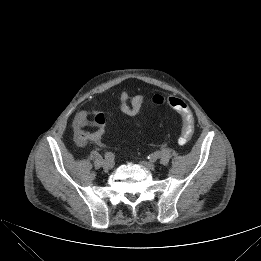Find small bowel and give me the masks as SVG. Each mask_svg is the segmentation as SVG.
<instances>
[{
	"label": "small bowel",
	"instance_id": "c3829d8e",
	"mask_svg": "<svg viewBox=\"0 0 261 261\" xmlns=\"http://www.w3.org/2000/svg\"><path fill=\"white\" fill-rule=\"evenodd\" d=\"M119 99L121 112L128 116L137 115L146 101L144 95L131 96L128 91H122ZM88 125H93L95 129L93 131L85 130ZM72 127L75 142L78 146H84L87 142L102 145L106 129V115L103 112H98L94 119L91 120L89 112L81 110L76 114Z\"/></svg>",
	"mask_w": 261,
	"mask_h": 261
}]
</instances>
